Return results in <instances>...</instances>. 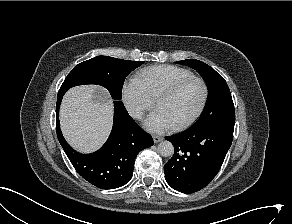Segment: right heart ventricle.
Instances as JSON below:
<instances>
[{"mask_svg": "<svg viewBox=\"0 0 292 224\" xmlns=\"http://www.w3.org/2000/svg\"><path fill=\"white\" fill-rule=\"evenodd\" d=\"M192 75L194 74L186 68L161 64L139 70L135 79L140 82L148 95L155 100L163 89Z\"/></svg>", "mask_w": 292, "mask_h": 224, "instance_id": "right-heart-ventricle-1", "label": "right heart ventricle"}]
</instances>
